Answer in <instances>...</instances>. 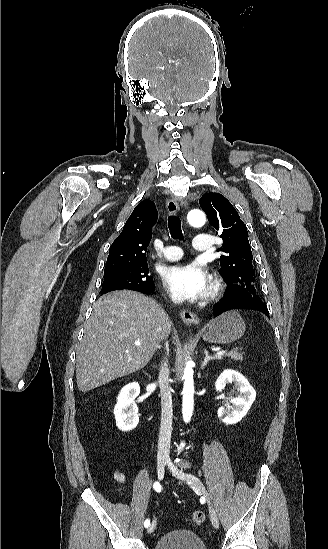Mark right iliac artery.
I'll return each mask as SVG.
<instances>
[{
    "label": "right iliac artery",
    "mask_w": 328,
    "mask_h": 549,
    "mask_svg": "<svg viewBox=\"0 0 328 549\" xmlns=\"http://www.w3.org/2000/svg\"><path fill=\"white\" fill-rule=\"evenodd\" d=\"M153 488L155 489L156 492H161V485H160L159 482H155V483L153 484ZM149 525H150V520H148V519L145 520L144 526H145V527H148Z\"/></svg>",
    "instance_id": "1"
}]
</instances>
